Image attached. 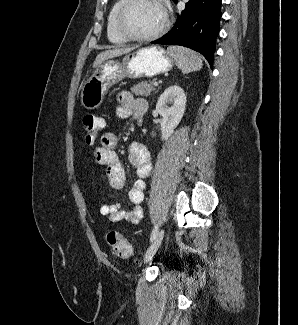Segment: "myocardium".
<instances>
[{
    "instance_id": "obj_1",
    "label": "myocardium",
    "mask_w": 298,
    "mask_h": 325,
    "mask_svg": "<svg viewBox=\"0 0 298 325\" xmlns=\"http://www.w3.org/2000/svg\"><path fill=\"white\" fill-rule=\"evenodd\" d=\"M141 0H126L124 1V3L122 4V6L120 7L118 14L116 16L115 19V28L116 31L118 32V34L123 37L124 39H126L127 41H133V42H150L153 41L155 39H157L160 35H162L164 33V31L167 28L168 25V12H167V8L165 6V4L162 2V0H149L153 3H155L160 10L163 13V23L162 25L153 33H151L150 35L144 36V37H137L132 35L131 33H129L127 31V29L124 27L123 25V19L124 16L126 14V12L128 11V9L135 3L139 2Z\"/></svg>"
}]
</instances>
